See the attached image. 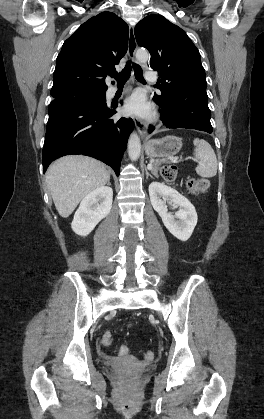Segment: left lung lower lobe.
Segmentation results:
<instances>
[{
	"label": "left lung lower lobe",
	"instance_id": "left-lung-lower-lobe-1",
	"mask_svg": "<svg viewBox=\"0 0 264 419\" xmlns=\"http://www.w3.org/2000/svg\"><path fill=\"white\" fill-rule=\"evenodd\" d=\"M174 99L154 94L155 102L161 107V120L167 128L196 129L212 133L211 113L208 108L206 88H195L190 92H182ZM154 127L150 126L148 133Z\"/></svg>",
	"mask_w": 264,
	"mask_h": 419
}]
</instances>
